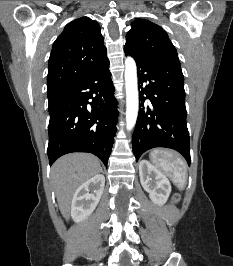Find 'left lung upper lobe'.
Here are the masks:
<instances>
[{
	"label": "left lung upper lobe",
	"instance_id": "obj_1",
	"mask_svg": "<svg viewBox=\"0 0 233 266\" xmlns=\"http://www.w3.org/2000/svg\"><path fill=\"white\" fill-rule=\"evenodd\" d=\"M124 51L154 62H172L180 65L176 49L167 33L157 24L136 19L126 35Z\"/></svg>",
	"mask_w": 233,
	"mask_h": 266
}]
</instances>
